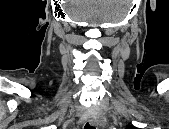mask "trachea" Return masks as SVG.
Wrapping results in <instances>:
<instances>
[{
    "mask_svg": "<svg viewBox=\"0 0 169 129\" xmlns=\"http://www.w3.org/2000/svg\"><path fill=\"white\" fill-rule=\"evenodd\" d=\"M84 129H95L93 126H91L89 123H86L84 126Z\"/></svg>",
    "mask_w": 169,
    "mask_h": 129,
    "instance_id": "1",
    "label": "trachea"
}]
</instances>
